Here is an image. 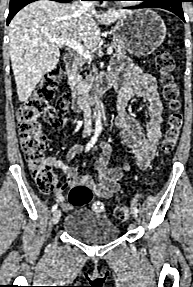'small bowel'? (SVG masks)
Wrapping results in <instances>:
<instances>
[{"label":"small bowel","instance_id":"1","mask_svg":"<svg viewBox=\"0 0 193 287\" xmlns=\"http://www.w3.org/2000/svg\"><path fill=\"white\" fill-rule=\"evenodd\" d=\"M112 74L116 78L119 90L116 126L121 129L125 144L138 167L146 169L154 158L163 123V107L157 92L156 78L149 71L131 64L124 58L113 61ZM134 97H139L148 106L149 120L144 131L127 112L128 102ZM46 121L50 124L49 118H46ZM50 126L53 127L51 124ZM99 147L102 150L101 156L93 163L96 178L90 175L79 176L85 163L75 167L66 165L56 158L50 160V163L63 174L55 189L59 199L64 200V192L76 185L88 186L98 198L103 199L110 198L120 189V180L128 170L129 164L123 168H108L111 146L105 141L100 143ZM83 150L82 144L72 145L67 152V159L76 161Z\"/></svg>","mask_w":193,"mask_h":287}]
</instances>
